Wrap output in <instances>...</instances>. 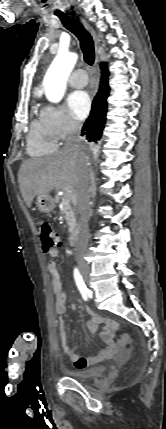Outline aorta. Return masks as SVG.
I'll use <instances>...</instances> for the list:
<instances>
[{"label":"aorta","mask_w":166,"mask_h":429,"mask_svg":"<svg viewBox=\"0 0 166 429\" xmlns=\"http://www.w3.org/2000/svg\"><path fill=\"white\" fill-rule=\"evenodd\" d=\"M77 61V54L60 51L49 67L43 86L47 99L58 103L64 96L66 81Z\"/></svg>","instance_id":"aorta-1"}]
</instances>
